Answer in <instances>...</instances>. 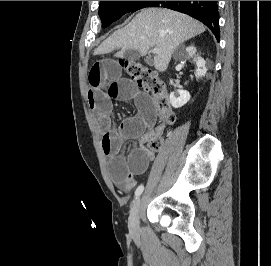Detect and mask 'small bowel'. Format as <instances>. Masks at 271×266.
<instances>
[{
    "instance_id": "small-bowel-1",
    "label": "small bowel",
    "mask_w": 271,
    "mask_h": 266,
    "mask_svg": "<svg viewBox=\"0 0 271 266\" xmlns=\"http://www.w3.org/2000/svg\"><path fill=\"white\" fill-rule=\"evenodd\" d=\"M88 103L95 113V127L101 134L103 152L109 157V173L115 186L131 191L136 186V177L148 169L153 154L145 146L154 135H161L162 128L155 127L150 98L121 75L114 60L95 63L88 75ZM113 100L134 101L138 113L124 119L118 126L112 124ZM127 140H138L128 156L122 154V145Z\"/></svg>"
}]
</instances>
